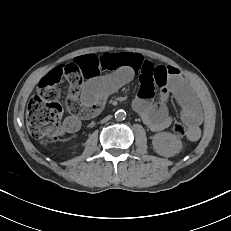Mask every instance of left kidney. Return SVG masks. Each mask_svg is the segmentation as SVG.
Here are the masks:
<instances>
[{"instance_id":"left-kidney-1","label":"left kidney","mask_w":231,"mask_h":231,"mask_svg":"<svg viewBox=\"0 0 231 231\" xmlns=\"http://www.w3.org/2000/svg\"><path fill=\"white\" fill-rule=\"evenodd\" d=\"M153 148L161 156L172 157L182 150L181 140L169 132H160L153 136Z\"/></svg>"}]
</instances>
